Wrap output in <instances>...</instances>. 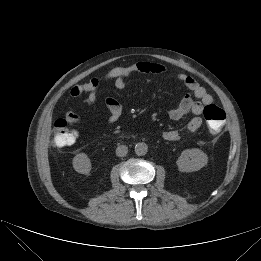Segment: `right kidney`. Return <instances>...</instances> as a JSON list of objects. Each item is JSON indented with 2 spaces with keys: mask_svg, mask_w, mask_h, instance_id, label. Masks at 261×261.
Instances as JSON below:
<instances>
[{
  "mask_svg": "<svg viewBox=\"0 0 261 261\" xmlns=\"http://www.w3.org/2000/svg\"><path fill=\"white\" fill-rule=\"evenodd\" d=\"M73 168L81 174H89L91 171V161L85 153H79L73 158Z\"/></svg>",
  "mask_w": 261,
  "mask_h": 261,
  "instance_id": "1",
  "label": "right kidney"
}]
</instances>
